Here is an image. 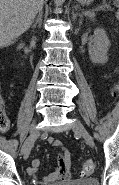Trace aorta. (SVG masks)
Segmentation results:
<instances>
[{
  "label": "aorta",
  "instance_id": "obj_1",
  "mask_svg": "<svg viewBox=\"0 0 119 185\" xmlns=\"http://www.w3.org/2000/svg\"><path fill=\"white\" fill-rule=\"evenodd\" d=\"M65 0H54L56 6H61Z\"/></svg>",
  "mask_w": 119,
  "mask_h": 185
}]
</instances>
